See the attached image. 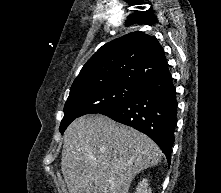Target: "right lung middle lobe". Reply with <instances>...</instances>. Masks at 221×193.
Returning <instances> with one entry per match:
<instances>
[{
    "label": "right lung middle lobe",
    "instance_id": "right-lung-middle-lobe-1",
    "mask_svg": "<svg viewBox=\"0 0 221 193\" xmlns=\"http://www.w3.org/2000/svg\"><path fill=\"white\" fill-rule=\"evenodd\" d=\"M141 85L117 82L70 90L59 131L63 133L74 119L82 115L100 113L124 103L140 91Z\"/></svg>",
    "mask_w": 221,
    "mask_h": 193
}]
</instances>
